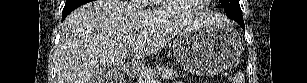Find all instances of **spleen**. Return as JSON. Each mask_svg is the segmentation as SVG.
Here are the masks:
<instances>
[{"label":"spleen","instance_id":"obj_1","mask_svg":"<svg viewBox=\"0 0 307 83\" xmlns=\"http://www.w3.org/2000/svg\"><path fill=\"white\" fill-rule=\"evenodd\" d=\"M233 83H245L244 75L240 72L237 73L233 80Z\"/></svg>","mask_w":307,"mask_h":83}]
</instances>
